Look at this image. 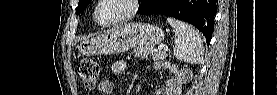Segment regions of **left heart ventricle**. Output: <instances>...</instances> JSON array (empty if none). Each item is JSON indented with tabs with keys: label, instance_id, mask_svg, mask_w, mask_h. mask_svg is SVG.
<instances>
[{
	"label": "left heart ventricle",
	"instance_id": "left-heart-ventricle-1",
	"mask_svg": "<svg viewBox=\"0 0 277 95\" xmlns=\"http://www.w3.org/2000/svg\"><path fill=\"white\" fill-rule=\"evenodd\" d=\"M124 5L117 0H108L99 8V14L103 20H110L124 12Z\"/></svg>",
	"mask_w": 277,
	"mask_h": 95
}]
</instances>
